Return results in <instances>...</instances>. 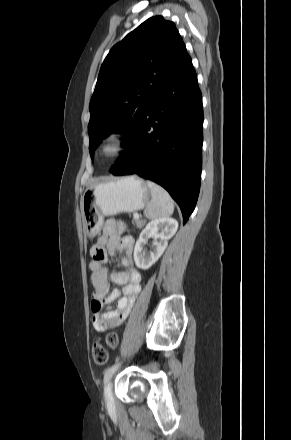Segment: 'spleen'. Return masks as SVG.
<instances>
[{"mask_svg":"<svg viewBox=\"0 0 291 440\" xmlns=\"http://www.w3.org/2000/svg\"><path fill=\"white\" fill-rule=\"evenodd\" d=\"M146 184L150 189L152 198L144 210V215L148 219H157L172 215L174 202L169 193L152 181H147Z\"/></svg>","mask_w":291,"mask_h":440,"instance_id":"obj_1","label":"spleen"}]
</instances>
